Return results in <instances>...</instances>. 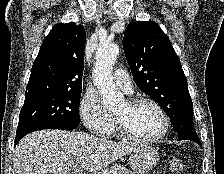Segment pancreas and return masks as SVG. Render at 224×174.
Wrapping results in <instances>:
<instances>
[{"instance_id":"pancreas-1","label":"pancreas","mask_w":224,"mask_h":174,"mask_svg":"<svg viewBox=\"0 0 224 174\" xmlns=\"http://www.w3.org/2000/svg\"><path fill=\"white\" fill-rule=\"evenodd\" d=\"M98 174H133V173L120 164H114L111 167L104 169L102 172Z\"/></svg>"}]
</instances>
